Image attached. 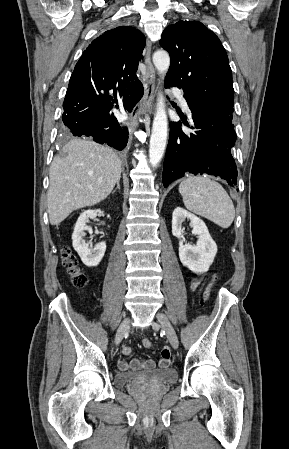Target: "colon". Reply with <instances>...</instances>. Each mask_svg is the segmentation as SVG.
I'll return each mask as SVG.
<instances>
[{"instance_id":"5ec220e1","label":"colon","mask_w":289,"mask_h":449,"mask_svg":"<svg viewBox=\"0 0 289 449\" xmlns=\"http://www.w3.org/2000/svg\"><path fill=\"white\" fill-rule=\"evenodd\" d=\"M62 265L65 268L67 274L69 275L73 285L77 288H82L86 285L87 278L85 274L82 272L79 267L78 260L70 248L65 247L62 250ZM218 281V276H215L211 283L208 285L207 289L204 292L203 301L207 302L211 293L212 288L215 286ZM142 344L145 348H149L151 346V342L149 339L145 338L142 341Z\"/></svg>"}]
</instances>
